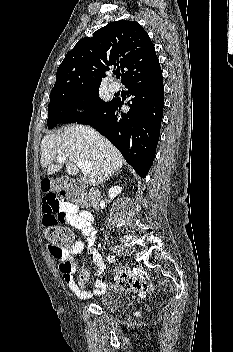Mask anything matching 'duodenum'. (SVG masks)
Returning a JSON list of instances; mask_svg holds the SVG:
<instances>
[{
    "instance_id": "duodenum-1",
    "label": "duodenum",
    "mask_w": 233,
    "mask_h": 352,
    "mask_svg": "<svg viewBox=\"0 0 233 352\" xmlns=\"http://www.w3.org/2000/svg\"><path fill=\"white\" fill-rule=\"evenodd\" d=\"M99 200H100V194L98 190L94 188L90 189L88 192V201L90 206L93 209H96L98 207Z\"/></svg>"
}]
</instances>
